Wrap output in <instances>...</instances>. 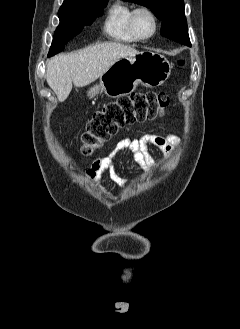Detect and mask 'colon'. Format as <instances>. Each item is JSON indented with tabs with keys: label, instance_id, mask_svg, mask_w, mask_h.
I'll use <instances>...</instances> for the list:
<instances>
[{
	"label": "colon",
	"instance_id": "colon-1",
	"mask_svg": "<svg viewBox=\"0 0 240 329\" xmlns=\"http://www.w3.org/2000/svg\"><path fill=\"white\" fill-rule=\"evenodd\" d=\"M179 64H183L180 61ZM170 98L162 91L134 93L96 110L82 136V153L91 155L120 128L153 120L168 107Z\"/></svg>",
	"mask_w": 240,
	"mask_h": 329
}]
</instances>
